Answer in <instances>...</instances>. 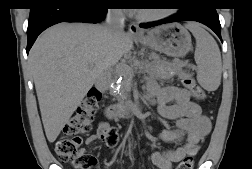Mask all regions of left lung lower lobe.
<instances>
[{"label": "left lung lower lobe", "mask_w": 252, "mask_h": 169, "mask_svg": "<svg viewBox=\"0 0 252 169\" xmlns=\"http://www.w3.org/2000/svg\"><path fill=\"white\" fill-rule=\"evenodd\" d=\"M217 7L213 4H208L205 6H200L195 9L187 11H179L177 14L157 22H151L146 24H140L142 28H150L161 24L179 22V21H197L212 29L217 36L221 38V25L219 21L218 14L216 12Z\"/></svg>", "instance_id": "0a47b994"}]
</instances>
